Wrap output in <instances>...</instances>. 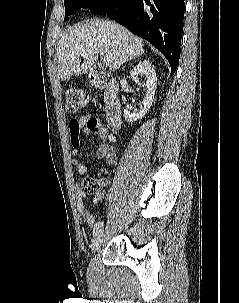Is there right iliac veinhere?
Returning a JSON list of instances; mask_svg holds the SVG:
<instances>
[{
    "instance_id": "right-iliac-vein-1",
    "label": "right iliac vein",
    "mask_w": 239,
    "mask_h": 303,
    "mask_svg": "<svg viewBox=\"0 0 239 303\" xmlns=\"http://www.w3.org/2000/svg\"><path fill=\"white\" fill-rule=\"evenodd\" d=\"M103 241H104V234H103V230L100 229L93 235L91 241V251L95 252L97 249H99Z\"/></svg>"
}]
</instances>
